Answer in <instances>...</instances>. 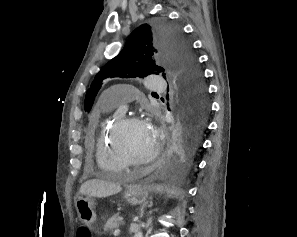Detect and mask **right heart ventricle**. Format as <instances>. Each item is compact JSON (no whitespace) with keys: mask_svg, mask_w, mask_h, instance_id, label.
Segmentation results:
<instances>
[{"mask_svg":"<svg viewBox=\"0 0 297 237\" xmlns=\"http://www.w3.org/2000/svg\"><path fill=\"white\" fill-rule=\"evenodd\" d=\"M110 107L103 106L101 114L105 115L110 111ZM119 116H115L112 119H105L99 123V130L95 143V158L99 168L107 175H115L125 169L123 163L114 154L109 137L114 124L119 119Z\"/></svg>","mask_w":297,"mask_h":237,"instance_id":"e07e8e85","label":"right heart ventricle"}]
</instances>
